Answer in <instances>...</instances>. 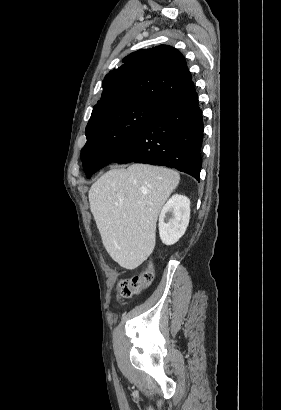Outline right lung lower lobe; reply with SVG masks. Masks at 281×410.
Segmentation results:
<instances>
[{
	"label": "right lung lower lobe",
	"instance_id": "obj_1",
	"mask_svg": "<svg viewBox=\"0 0 281 410\" xmlns=\"http://www.w3.org/2000/svg\"><path fill=\"white\" fill-rule=\"evenodd\" d=\"M203 116L195 90L160 108L130 146L113 162L175 168L200 180Z\"/></svg>",
	"mask_w": 281,
	"mask_h": 410
}]
</instances>
